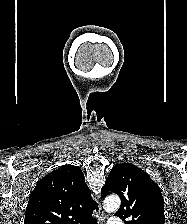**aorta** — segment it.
I'll return each mask as SVG.
<instances>
[{
  "label": "aorta",
  "mask_w": 187,
  "mask_h": 224,
  "mask_svg": "<svg viewBox=\"0 0 187 224\" xmlns=\"http://www.w3.org/2000/svg\"><path fill=\"white\" fill-rule=\"evenodd\" d=\"M121 201L117 196H109L103 202V208L107 212H114L120 207Z\"/></svg>",
  "instance_id": "obj_1"
}]
</instances>
